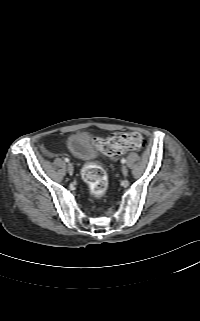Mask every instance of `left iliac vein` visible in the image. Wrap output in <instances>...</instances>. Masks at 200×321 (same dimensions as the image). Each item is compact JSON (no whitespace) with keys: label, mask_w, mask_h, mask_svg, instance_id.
Wrapping results in <instances>:
<instances>
[{"label":"left iliac vein","mask_w":200,"mask_h":321,"mask_svg":"<svg viewBox=\"0 0 200 321\" xmlns=\"http://www.w3.org/2000/svg\"><path fill=\"white\" fill-rule=\"evenodd\" d=\"M121 170H122V173H123L124 176L128 175V169H127V167L125 165L122 166Z\"/></svg>","instance_id":"4c4485c4"}]
</instances>
